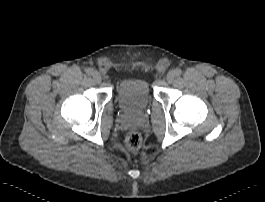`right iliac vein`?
<instances>
[{
  "mask_svg": "<svg viewBox=\"0 0 265 202\" xmlns=\"http://www.w3.org/2000/svg\"><path fill=\"white\" fill-rule=\"evenodd\" d=\"M92 77H93V80L97 83L101 82V80H102L100 73L97 71L93 72Z\"/></svg>",
  "mask_w": 265,
  "mask_h": 202,
  "instance_id": "obj_1",
  "label": "right iliac vein"
}]
</instances>
